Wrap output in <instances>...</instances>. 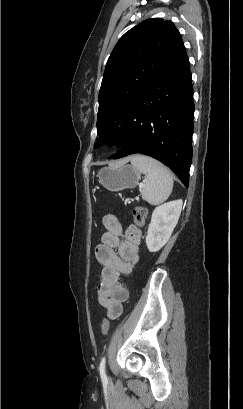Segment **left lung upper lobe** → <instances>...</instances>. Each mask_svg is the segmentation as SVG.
Returning a JSON list of instances; mask_svg holds the SVG:
<instances>
[{"label": "left lung upper lobe", "instance_id": "5c2ea615", "mask_svg": "<svg viewBox=\"0 0 243 409\" xmlns=\"http://www.w3.org/2000/svg\"><path fill=\"white\" fill-rule=\"evenodd\" d=\"M182 43L175 25L147 19L126 32L107 61L99 91V142L119 146L148 84Z\"/></svg>", "mask_w": 243, "mask_h": 409}]
</instances>
